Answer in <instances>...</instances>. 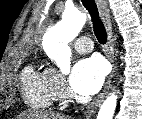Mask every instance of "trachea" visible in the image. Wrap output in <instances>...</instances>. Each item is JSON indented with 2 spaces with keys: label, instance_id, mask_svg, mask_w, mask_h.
Listing matches in <instances>:
<instances>
[{
  "label": "trachea",
  "instance_id": "obj_1",
  "mask_svg": "<svg viewBox=\"0 0 142 119\" xmlns=\"http://www.w3.org/2000/svg\"><path fill=\"white\" fill-rule=\"evenodd\" d=\"M82 3L91 16L94 33L97 40L101 44H105L107 41V33L101 19L99 18L98 9L94 0H82Z\"/></svg>",
  "mask_w": 142,
  "mask_h": 119
}]
</instances>
